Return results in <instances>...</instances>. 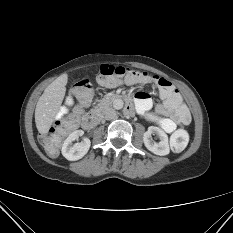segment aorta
<instances>
[{
    "label": "aorta",
    "mask_w": 233,
    "mask_h": 233,
    "mask_svg": "<svg viewBox=\"0 0 233 233\" xmlns=\"http://www.w3.org/2000/svg\"><path fill=\"white\" fill-rule=\"evenodd\" d=\"M113 105H114V108H116V109H122L123 105H124V102L121 99H116L114 101Z\"/></svg>",
    "instance_id": "aorta-1"
}]
</instances>
